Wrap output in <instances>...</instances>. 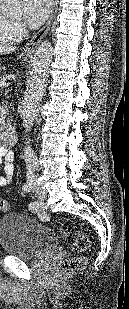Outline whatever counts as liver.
Listing matches in <instances>:
<instances>
[{
	"instance_id": "obj_1",
	"label": "liver",
	"mask_w": 129,
	"mask_h": 309,
	"mask_svg": "<svg viewBox=\"0 0 129 309\" xmlns=\"http://www.w3.org/2000/svg\"><path fill=\"white\" fill-rule=\"evenodd\" d=\"M17 48L13 45H10L9 43H0V55H7L14 51H16Z\"/></svg>"
}]
</instances>
